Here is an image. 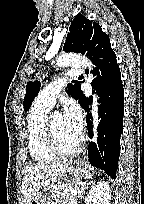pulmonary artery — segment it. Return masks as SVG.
I'll list each match as a JSON object with an SVG mask.
<instances>
[{
	"label": "pulmonary artery",
	"mask_w": 144,
	"mask_h": 204,
	"mask_svg": "<svg viewBox=\"0 0 144 204\" xmlns=\"http://www.w3.org/2000/svg\"><path fill=\"white\" fill-rule=\"evenodd\" d=\"M81 72H82L81 70H74L70 72L68 75L52 81L39 92L36 98V101L39 104H42L44 106L51 108L55 104L56 99L61 94L62 89L66 84V82L69 79L78 76Z\"/></svg>",
	"instance_id": "pulmonary-artery-1"
}]
</instances>
